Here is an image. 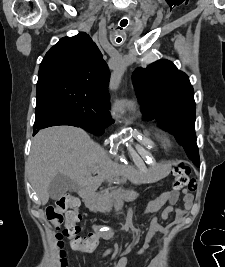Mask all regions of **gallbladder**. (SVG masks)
<instances>
[{
    "instance_id": "bac80fb5",
    "label": "gallbladder",
    "mask_w": 225,
    "mask_h": 267,
    "mask_svg": "<svg viewBox=\"0 0 225 267\" xmlns=\"http://www.w3.org/2000/svg\"><path fill=\"white\" fill-rule=\"evenodd\" d=\"M77 190L74 182L65 175L58 174L49 184L48 192L51 199L61 198L69 191Z\"/></svg>"
}]
</instances>
